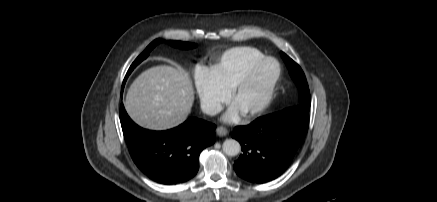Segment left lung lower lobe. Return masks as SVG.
<instances>
[{
    "label": "left lung lower lobe",
    "mask_w": 437,
    "mask_h": 202,
    "mask_svg": "<svg viewBox=\"0 0 437 202\" xmlns=\"http://www.w3.org/2000/svg\"><path fill=\"white\" fill-rule=\"evenodd\" d=\"M309 127V110L300 106L257 118L237 126L232 137L242 154L233 168L237 175L253 183H265L280 176L291 164Z\"/></svg>",
    "instance_id": "obj_1"
}]
</instances>
